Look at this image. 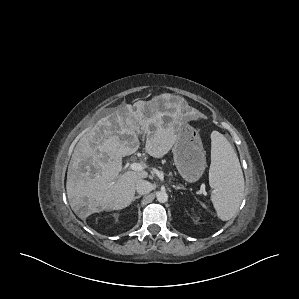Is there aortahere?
I'll use <instances>...</instances> for the list:
<instances>
[{"instance_id":"aorta-1","label":"aorta","mask_w":299,"mask_h":299,"mask_svg":"<svg viewBox=\"0 0 299 299\" xmlns=\"http://www.w3.org/2000/svg\"><path fill=\"white\" fill-rule=\"evenodd\" d=\"M157 200L160 203H165L168 200V194L165 191H159L156 194Z\"/></svg>"}]
</instances>
